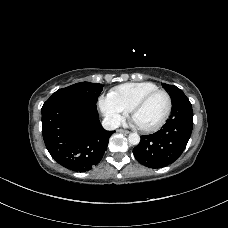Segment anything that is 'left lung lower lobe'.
<instances>
[{"instance_id": "obj_1", "label": "left lung lower lobe", "mask_w": 228, "mask_h": 228, "mask_svg": "<svg viewBox=\"0 0 228 228\" xmlns=\"http://www.w3.org/2000/svg\"><path fill=\"white\" fill-rule=\"evenodd\" d=\"M193 128L192 105L188 98L173 105L166 124L158 132L141 137L133 149L136 160L149 168L170 165L182 154Z\"/></svg>"}]
</instances>
